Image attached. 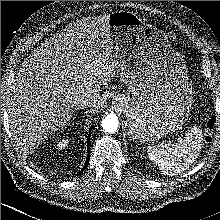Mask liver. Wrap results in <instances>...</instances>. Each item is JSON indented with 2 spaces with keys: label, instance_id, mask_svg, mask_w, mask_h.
<instances>
[{
  "label": "liver",
  "instance_id": "6515ba94",
  "mask_svg": "<svg viewBox=\"0 0 220 220\" xmlns=\"http://www.w3.org/2000/svg\"><path fill=\"white\" fill-rule=\"evenodd\" d=\"M109 15L86 17L66 26L34 50L10 87L6 100L10 128L24 149L64 126L84 94L102 104L101 86L115 76L118 63Z\"/></svg>",
  "mask_w": 220,
  "mask_h": 220
}]
</instances>
